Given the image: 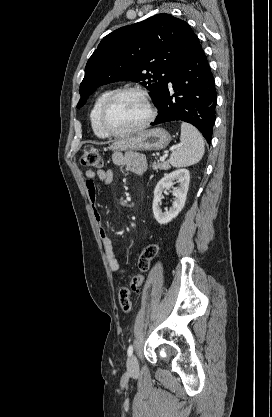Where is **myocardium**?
Wrapping results in <instances>:
<instances>
[{"mask_svg": "<svg viewBox=\"0 0 272 417\" xmlns=\"http://www.w3.org/2000/svg\"><path fill=\"white\" fill-rule=\"evenodd\" d=\"M124 94H135L138 95L145 103L148 114L146 119L139 124L138 126L124 131V132H116V131H112L108 128L107 124H106V115L107 112L111 106V104L121 95ZM156 116V110L155 107L152 103V100L150 98V96L141 88L138 87H125V88H120L117 89L115 91H113L104 101L101 109H100V113H99V124L100 127L102 129V131L104 132V134H106L107 136L110 137H127L133 134H136L142 130H144L145 128H147L151 122L155 119Z\"/></svg>", "mask_w": 272, "mask_h": 417, "instance_id": "myocardium-1", "label": "myocardium"}]
</instances>
